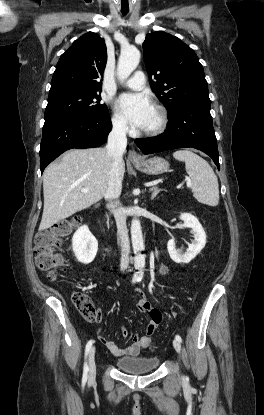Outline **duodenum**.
I'll return each mask as SVG.
<instances>
[{
	"label": "duodenum",
	"instance_id": "410a0bca",
	"mask_svg": "<svg viewBox=\"0 0 264 415\" xmlns=\"http://www.w3.org/2000/svg\"><path fill=\"white\" fill-rule=\"evenodd\" d=\"M96 228L98 231L102 232V223L99 219L96 220Z\"/></svg>",
	"mask_w": 264,
	"mask_h": 415
}]
</instances>
